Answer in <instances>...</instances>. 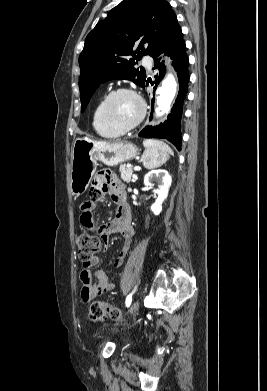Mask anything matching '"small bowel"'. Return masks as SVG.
<instances>
[{
    "label": "small bowel",
    "instance_id": "obj_1",
    "mask_svg": "<svg viewBox=\"0 0 267 391\" xmlns=\"http://www.w3.org/2000/svg\"><path fill=\"white\" fill-rule=\"evenodd\" d=\"M106 195L110 196L116 204V215L112 221L97 226L93 218V211L96 208V202ZM89 197L88 200H85L80 205L81 225L87 230L96 231L105 243L115 233L120 234L124 238L123 247L114 263L116 267H119L123 264L129 249L136 240V233L131 225V211L126 202L124 186L110 170L100 169L93 177ZM99 262L100 259L94 256L88 265H83L80 272L81 298L86 303L91 302L104 293L110 292L115 287V284L108 279L104 271L96 270L94 273L90 272V268L97 266Z\"/></svg>",
    "mask_w": 267,
    "mask_h": 391
}]
</instances>
